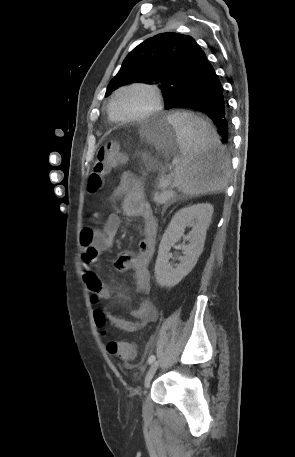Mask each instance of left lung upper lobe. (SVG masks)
<instances>
[{
  "label": "left lung upper lobe",
  "mask_w": 295,
  "mask_h": 457,
  "mask_svg": "<svg viewBox=\"0 0 295 457\" xmlns=\"http://www.w3.org/2000/svg\"><path fill=\"white\" fill-rule=\"evenodd\" d=\"M201 50L188 35L173 32L155 35L127 55L110 81L106 95L126 83L155 84L168 104L186 86L188 71Z\"/></svg>",
  "instance_id": "5c2ea615"
}]
</instances>
